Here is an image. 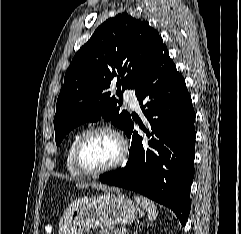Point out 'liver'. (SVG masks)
<instances>
[{"instance_id": "liver-1", "label": "liver", "mask_w": 241, "mask_h": 234, "mask_svg": "<svg viewBox=\"0 0 241 234\" xmlns=\"http://www.w3.org/2000/svg\"><path fill=\"white\" fill-rule=\"evenodd\" d=\"M89 186H91L92 188H96V189H102V190H105L107 189L106 186L100 184V183H96V182H93L91 184H88V183H77L76 184V187L78 189H81V188H88Z\"/></svg>"}]
</instances>
